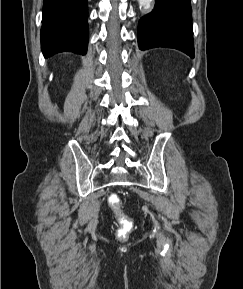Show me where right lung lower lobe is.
I'll return each instance as SVG.
<instances>
[{
	"label": "right lung lower lobe",
	"mask_w": 243,
	"mask_h": 289,
	"mask_svg": "<svg viewBox=\"0 0 243 289\" xmlns=\"http://www.w3.org/2000/svg\"><path fill=\"white\" fill-rule=\"evenodd\" d=\"M87 18V0H44L41 28L44 56L64 51L85 54Z\"/></svg>",
	"instance_id": "1"
}]
</instances>
